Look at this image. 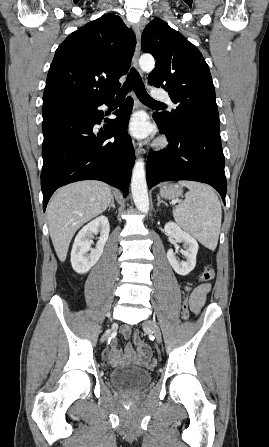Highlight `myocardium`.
Here are the masks:
<instances>
[{"label": "myocardium", "instance_id": "myocardium-1", "mask_svg": "<svg viewBox=\"0 0 269 447\" xmlns=\"http://www.w3.org/2000/svg\"><path fill=\"white\" fill-rule=\"evenodd\" d=\"M168 144H169V141H168V139H167L166 137H161V138H159L158 141L156 142V146H157L159 149H164V148H166V147L168 146Z\"/></svg>", "mask_w": 269, "mask_h": 447}]
</instances>
